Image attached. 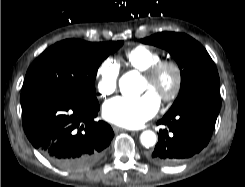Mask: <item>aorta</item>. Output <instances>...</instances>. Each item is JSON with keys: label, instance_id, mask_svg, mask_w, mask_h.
Masks as SVG:
<instances>
[{"label": "aorta", "instance_id": "obj_1", "mask_svg": "<svg viewBox=\"0 0 245 187\" xmlns=\"http://www.w3.org/2000/svg\"><path fill=\"white\" fill-rule=\"evenodd\" d=\"M139 76L132 75L131 73L124 74L119 80L120 91L124 97L128 99H136L140 95L138 88ZM140 140L143 146L152 147L156 144V135L150 130L144 131Z\"/></svg>", "mask_w": 245, "mask_h": 187}]
</instances>
